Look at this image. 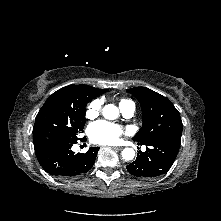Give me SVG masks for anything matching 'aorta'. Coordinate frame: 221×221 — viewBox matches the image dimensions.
Wrapping results in <instances>:
<instances>
[{
    "instance_id": "762f6f07",
    "label": "aorta",
    "mask_w": 221,
    "mask_h": 221,
    "mask_svg": "<svg viewBox=\"0 0 221 221\" xmlns=\"http://www.w3.org/2000/svg\"><path fill=\"white\" fill-rule=\"evenodd\" d=\"M118 114V109L113 104H108L103 108V116L105 118H114ZM123 159L132 160L135 157V151L132 148H125L121 152Z\"/></svg>"
}]
</instances>
